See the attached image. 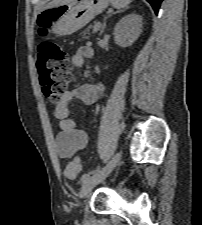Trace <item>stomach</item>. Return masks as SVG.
<instances>
[{
	"label": "stomach",
	"mask_w": 202,
	"mask_h": 225,
	"mask_svg": "<svg viewBox=\"0 0 202 225\" xmlns=\"http://www.w3.org/2000/svg\"><path fill=\"white\" fill-rule=\"evenodd\" d=\"M110 0H82L78 4H66L48 8L57 15L52 24V32L57 36H68L86 26L98 14L103 12ZM46 10V11H47Z\"/></svg>",
	"instance_id": "0dacf381"
}]
</instances>
